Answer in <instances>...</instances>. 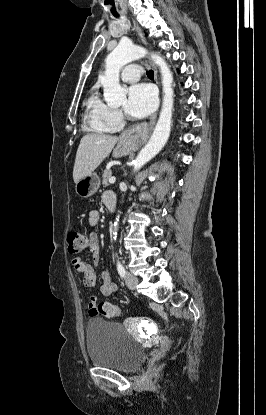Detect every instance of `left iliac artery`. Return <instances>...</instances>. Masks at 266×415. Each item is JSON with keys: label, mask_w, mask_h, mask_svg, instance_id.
Listing matches in <instances>:
<instances>
[{"label": "left iliac artery", "mask_w": 266, "mask_h": 415, "mask_svg": "<svg viewBox=\"0 0 266 415\" xmlns=\"http://www.w3.org/2000/svg\"><path fill=\"white\" fill-rule=\"evenodd\" d=\"M117 270L121 277H125V268L119 260H117Z\"/></svg>", "instance_id": "1"}]
</instances>
